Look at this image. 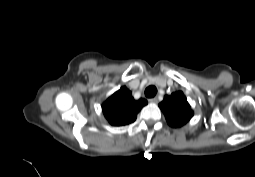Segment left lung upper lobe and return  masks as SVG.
Segmentation results:
<instances>
[{"instance_id":"obj_1","label":"left lung upper lobe","mask_w":255,"mask_h":177,"mask_svg":"<svg viewBox=\"0 0 255 177\" xmlns=\"http://www.w3.org/2000/svg\"><path fill=\"white\" fill-rule=\"evenodd\" d=\"M168 124L173 128H178L189 122L193 117V111L182 91L174 92L164 96V100L159 104Z\"/></svg>"}]
</instances>
